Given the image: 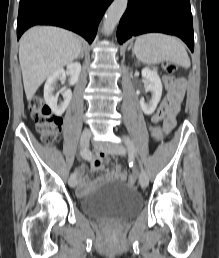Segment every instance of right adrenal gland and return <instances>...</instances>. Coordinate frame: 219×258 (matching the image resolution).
<instances>
[{"label":"right adrenal gland","mask_w":219,"mask_h":258,"mask_svg":"<svg viewBox=\"0 0 219 258\" xmlns=\"http://www.w3.org/2000/svg\"><path fill=\"white\" fill-rule=\"evenodd\" d=\"M83 57H84V49L81 50V53H80V55L78 56V58H82V59H83Z\"/></svg>","instance_id":"obj_1"}]
</instances>
